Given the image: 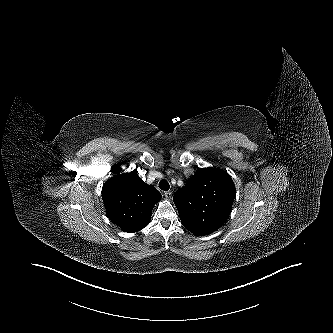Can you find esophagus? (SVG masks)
I'll use <instances>...</instances> for the list:
<instances>
[{"label":"esophagus","instance_id":"esophagus-1","mask_svg":"<svg viewBox=\"0 0 333 333\" xmlns=\"http://www.w3.org/2000/svg\"><path fill=\"white\" fill-rule=\"evenodd\" d=\"M164 195H165V197H166L167 199H171V197H172V192H171V191H165V192H164Z\"/></svg>","mask_w":333,"mask_h":333}]
</instances>
